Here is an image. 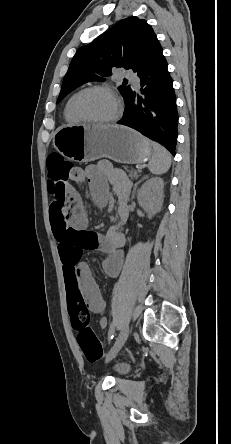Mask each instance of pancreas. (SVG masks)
Returning <instances> with one entry per match:
<instances>
[{
	"label": "pancreas",
	"mask_w": 231,
	"mask_h": 444,
	"mask_svg": "<svg viewBox=\"0 0 231 444\" xmlns=\"http://www.w3.org/2000/svg\"><path fill=\"white\" fill-rule=\"evenodd\" d=\"M124 170L128 173L130 178L138 179L139 175L134 169H130L128 166H124Z\"/></svg>",
	"instance_id": "1"
}]
</instances>
